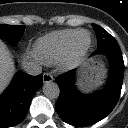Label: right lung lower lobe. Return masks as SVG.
Returning <instances> with one entry per match:
<instances>
[{
    "label": "right lung lower lobe",
    "mask_w": 128,
    "mask_h": 128,
    "mask_svg": "<svg viewBox=\"0 0 128 128\" xmlns=\"http://www.w3.org/2000/svg\"><path fill=\"white\" fill-rule=\"evenodd\" d=\"M42 83V75L16 74L10 87L0 97V128L17 125L25 118Z\"/></svg>",
    "instance_id": "1"
}]
</instances>
